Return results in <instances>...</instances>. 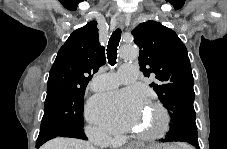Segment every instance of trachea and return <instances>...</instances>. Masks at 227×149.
<instances>
[{"mask_svg":"<svg viewBox=\"0 0 227 149\" xmlns=\"http://www.w3.org/2000/svg\"><path fill=\"white\" fill-rule=\"evenodd\" d=\"M121 39V29L117 28L111 35L107 45V59L111 66H114L117 59V47Z\"/></svg>","mask_w":227,"mask_h":149,"instance_id":"trachea-1","label":"trachea"}]
</instances>
